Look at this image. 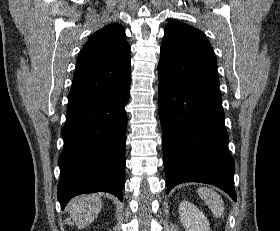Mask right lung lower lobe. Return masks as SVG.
<instances>
[{
  "mask_svg": "<svg viewBox=\"0 0 280 231\" xmlns=\"http://www.w3.org/2000/svg\"><path fill=\"white\" fill-rule=\"evenodd\" d=\"M129 87L69 106L62 128L64 148L58 200L64 209L79 194L108 192L122 201Z\"/></svg>",
  "mask_w": 280,
  "mask_h": 231,
  "instance_id": "1",
  "label": "right lung lower lobe"
}]
</instances>
